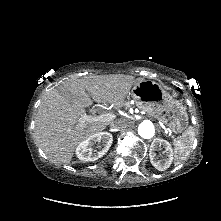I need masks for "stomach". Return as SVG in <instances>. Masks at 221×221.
Listing matches in <instances>:
<instances>
[{
  "label": "stomach",
  "instance_id": "1",
  "mask_svg": "<svg viewBox=\"0 0 221 221\" xmlns=\"http://www.w3.org/2000/svg\"><path fill=\"white\" fill-rule=\"evenodd\" d=\"M131 95L139 109L161 120L172 132L181 133L187 128L188 115L185 107L160 84L143 80L133 86Z\"/></svg>",
  "mask_w": 221,
  "mask_h": 221
}]
</instances>
